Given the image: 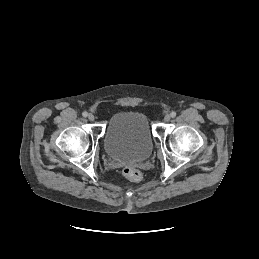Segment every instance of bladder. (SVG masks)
Wrapping results in <instances>:
<instances>
[{"label": "bladder", "instance_id": "31cf9c89", "mask_svg": "<svg viewBox=\"0 0 259 259\" xmlns=\"http://www.w3.org/2000/svg\"><path fill=\"white\" fill-rule=\"evenodd\" d=\"M153 148L148 117L138 111H122L109 119L104 134V149L115 160L142 161Z\"/></svg>", "mask_w": 259, "mask_h": 259}]
</instances>
